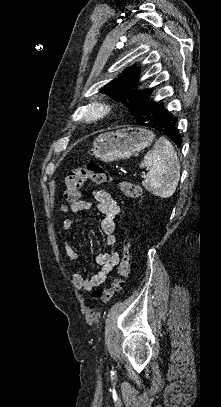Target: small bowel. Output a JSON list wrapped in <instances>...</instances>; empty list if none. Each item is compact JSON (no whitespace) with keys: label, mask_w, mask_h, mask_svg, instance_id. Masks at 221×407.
Instances as JSON below:
<instances>
[{"label":"small bowel","mask_w":221,"mask_h":407,"mask_svg":"<svg viewBox=\"0 0 221 407\" xmlns=\"http://www.w3.org/2000/svg\"><path fill=\"white\" fill-rule=\"evenodd\" d=\"M93 196L96 201V212L104 216L101 221V228L106 236V243L109 246H114L117 241L115 223L120 212L119 203L104 190H95ZM70 210L74 214H78L82 211H91L92 204L87 200H81L76 205L71 206ZM62 226L65 231L70 232L74 230L75 223L72 219L66 218L63 221ZM63 245L69 260L74 263H79L80 257L78 251L74 247L73 241L66 238ZM96 261L100 268L91 277H84L81 272L82 267L80 265L76 266L75 271L71 275V281L77 290L90 291L104 283L107 277L111 274L113 267L118 262V256L116 252L105 253L99 255Z\"/></svg>","instance_id":"obj_1"}]
</instances>
